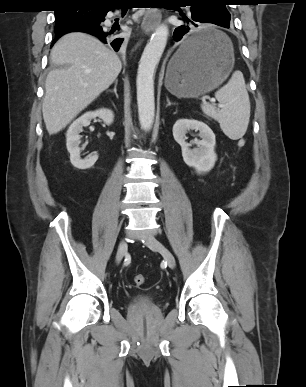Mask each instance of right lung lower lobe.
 <instances>
[{"label": "right lung lower lobe", "mask_w": 306, "mask_h": 387, "mask_svg": "<svg viewBox=\"0 0 306 387\" xmlns=\"http://www.w3.org/2000/svg\"><path fill=\"white\" fill-rule=\"evenodd\" d=\"M114 7H109L107 9H98L92 16L91 18L88 19V22L86 23H80L77 25H74L73 27H70L68 29H64L61 31H56V37L53 41V43L62 35L69 33V32H74V31H80V32H85L89 33L91 35H94L98 37L102 42L106 44H111V46L117 51L122 42V38H116V35L118 33L117 30H119L118 27H112L111 29L106 27L103 22L105 15L107 14L108 11L113 10Z\"/></svg>", "instance_id": "98d812e1"}]
</instances>
